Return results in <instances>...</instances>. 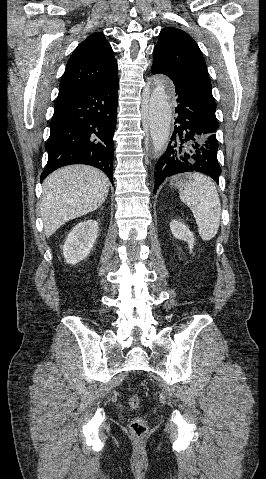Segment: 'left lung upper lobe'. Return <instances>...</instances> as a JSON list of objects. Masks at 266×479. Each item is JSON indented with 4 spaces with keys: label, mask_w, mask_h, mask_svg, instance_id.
Here are the masks:
<instances>
[{
    "label": "left lung upper lobe",
    "mask_w": 266,
    "mask_h": 479,
    "mask_svg": "<svg viewBox=\"0 0 266 479\" xmlns=\"http://www.w3.org/2000/svg\"><path fill=\"white\" fill-rule=\"evenodd\" d=\"M152 68L216 107L203 55L197 43L183 30L174 27L161 30Z\"/></svg>",
    "instance_id": "1"
}]
</instances>
